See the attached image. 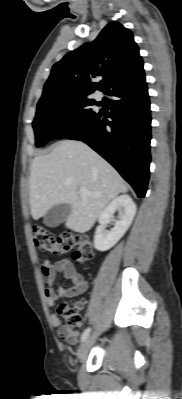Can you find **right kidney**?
Segmentation results:
<instances>
[{
	"mask_svg": "<svg viewBox=\"0 0 182 399\" xmlns=\"http://www.w3.org/2000/svg\"><path fill=\"white\" fill-rule=\"evenodd\" d=\"M117 210L121 212L120 220L116 221L114 228L106 231V224L109 223L110 218ZM135 214L136 205L129 195L123 194L114 198L99 215L100 225L96 228L94 247L98 251H106L112 248L126 233Z\"/></svg>",
	"mask_w": 182,
	"mask_h": 399,
	"instance_id": "ca27d5eb",
	"label": "right kidney"
}]
</instances>
